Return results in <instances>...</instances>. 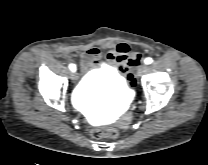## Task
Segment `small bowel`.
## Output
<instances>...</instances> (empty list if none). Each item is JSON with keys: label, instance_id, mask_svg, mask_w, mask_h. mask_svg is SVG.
I'll return each mask as SVG.
<instances>
[{"label": "small bowel", "instance_id": "c3829d8e", "mask_svg": "<svg viewBox=\"0 0 208 165\" xmlns=\"http://www.w3.org/2000/svg\"><path fill=\"white\" fill-rule=\"evenodd\" d=\"M102 51L106 52L105 59L117 71L128 72L139 63V55L133 53L125 43L105 44L100 48L92 47L80 57V63L85 71L97 68L100 63Z\"/></svg>", "mask_w": 208, "mask_h": 165}]
</instances>
